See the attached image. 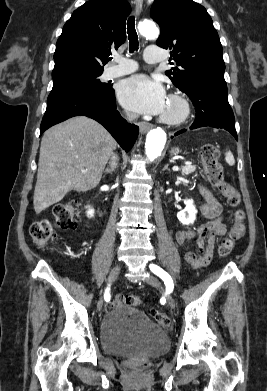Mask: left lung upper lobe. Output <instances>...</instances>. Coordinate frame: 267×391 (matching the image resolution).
Here are the masks:
<instances>
[{"label": "left lung upper lobe", "mask_w": 267, "mask_h": 391, "mask_svg": "<svg viewBox=\"0 0 267 391\" xmlns=\"http://www.w3.org/2000/svg\"><path fill=\"white\" fill-rule=\"evenodd\" d=\"M150 16L161 29L157 45L171 50L181 66L166 71L177 88L184 91L201 81L226 84L222 45L203 6L193 0H155Z\"/></svg>", "instance_id": "5c2ea615"}]
</instances>
